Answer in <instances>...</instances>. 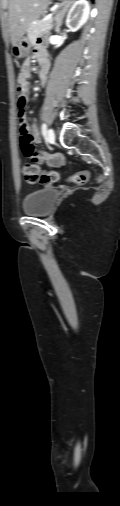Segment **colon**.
I'll return each instance as SVG.
<instances>
[{"mask_svg": "<svg viewBox=\"0 0 120 506\" xmlns=\"http://www.w3.org/2000/svg\"><path fill=\"white\" fill-rule=\"evenodd\" d=\"M18 90V123L21 131V147L24 153L28 156H38L39 150L34 142V138L25 132L26 125V117H25V108L27 104V91H25L24 86L21 82L17 84ZM23 176L25 181L28 184H50L55 183L59 180V174L55 171H42L36 164L28 163L23 167ZM90 178V173L88 171H81L73 174L70 177V181L75 184H83L86 183Z\"/></svg>", "mask_w": 120, "mask_h": 506, "instance_id": "5ec220e1", "label": "colon"}]
</instances>
